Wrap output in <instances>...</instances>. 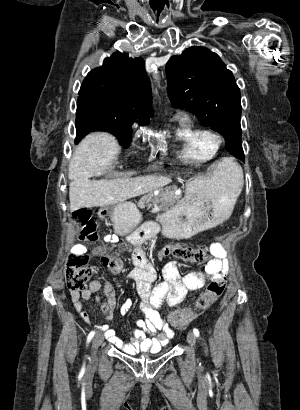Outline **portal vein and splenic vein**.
<instances>
[{
    "label": "portal vein and splenic vein",
    "mask_w": 300,
    "mask_h": 410,
    "mask_svg": "<svg viewBox=\"0 0 300 410\" xmlns=\"http://www.w3.org/2000/svg\"><path fill=\"white\" fill-rule=\"evenodd\" d=\"M158 210H159V207H157V206H155L154 209H153V211H158Z\"/></svg>",
    "instance_id": "portal-vein-and-splenic-vein-1"
}]
</instances>
